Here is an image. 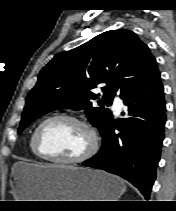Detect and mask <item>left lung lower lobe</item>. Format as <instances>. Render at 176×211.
Returning <instances> with one entry per match:
<instances>
[{
  "instance_id": "1",
  "label": "left lung lower lobe",
  "mask_w": 176,
  "mask_h": 211,
  "mask_svg": "<svg viewBox=\"0 0 176 211\" xmlns=\"http://www.w3.org/2000/svg\"><path fill=\"white\" fill-rule=\"evenodd\" d=\"M123 101L130 117L119 123L112 120L102 135L100 151L82 165L123 177L148 199L156 177L166 121L160 76L124 97ZM115 129L119 130L118 134Z\"/></svg>"
}]
</instances>
